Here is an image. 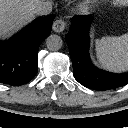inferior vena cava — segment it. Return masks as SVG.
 <instances>
[{
  "mask_svg": "<svg viewBox=\"0 0 128 128\" xmlns=\"http://www.w3.org/2000/svg\"><path fill=\"white\" fill-rule=\"evenodd\" d=\"M51 11H52V3L50 1H42L34 9V12L38 15H47Z\"/></svg>",
  "mask_w": 128,
  "mask_h": 128,
  "instance_id": "1",
  "label": "inferior vena cava"
}]
</instances>
